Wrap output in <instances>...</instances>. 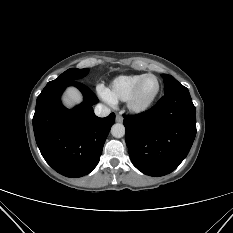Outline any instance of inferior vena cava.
<instances>
[{
    "instance_id": "inferior-vena-cava-1",
    "label": "inferior vena cava",
    "mask_w": 233,
    "mask_h": 233,
    "mask_svg": "<svg viewBox=\"0 0 233 233\" xmlns=\"http://www.w3.org/2000/svg\"><path fill=\"white\" fill-rule=\"evenodd\" d=\"M94 112L98 117H106L110 114L111 111L107 106L98 104L96 105Z\"/></svg>"
}]
</instances>
